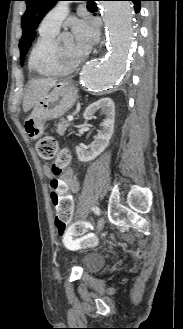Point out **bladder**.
Wrapping results in <instances>:
<instances>
[{
  "mask_svg": "<svg viewBox=\"0 0 183 329\" xmlns=\"http://www.w3.org/2000/svg\"><path fill=\"white\" fill-rule=\"evenodd\" d=\"M103 258L97 254H88L82 260L81 267L85 274L97 271L103 265Z\"/></svg>",
  "mask_w": 183,
  "mask_h": 329,
  "instance_id": "obj_1",
  "label": "bladder"
}]
</instances>
